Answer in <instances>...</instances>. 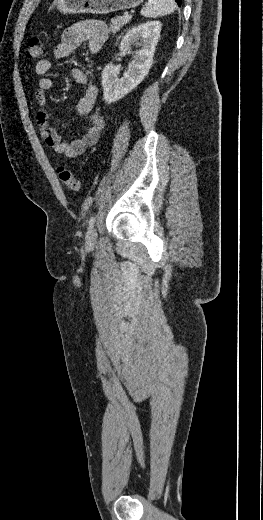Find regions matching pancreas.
I'll list each match as a JSON object with an SVG mask.
<instances>
[{
	"label": "pancreas",
	"mask_w": 263,
	"mask_h": 520,
	"mask_svg": "<svg viewBox=\"0 0 263 520\" xmlns=\"http://www.w3.org/2000/svg\"><path fill=\"white\" fill-rule=\"evenodd\" d=\"M130 19H125L124 16H119L111 19L110 30L113 33L119 31Z\"/></svg>",
	"instance_id": "obj_1"
}]
</instances>
